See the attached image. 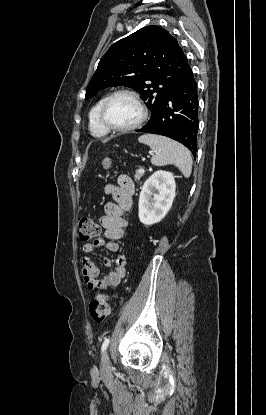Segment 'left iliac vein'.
<instances>
[{
    "label": "left iliac vein",
    "instance_id": "obj_1",
    "mask_svg": "<svg viewBox=\"0 0 266 415\" xmlns=\"http://www.w3.org/2000/svg\"><path fill=\"white\" fill-rule=\"evenodd\" d=\"M110 359L107 352L104 353L101 360V373L106 376L110 373Z\"/></svg>",
    "mask_w": 266,
    "mask_h": 415
}]
</instances>
